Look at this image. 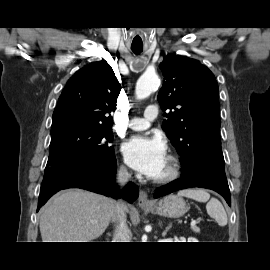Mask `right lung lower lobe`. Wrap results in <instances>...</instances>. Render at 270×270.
<instances>
[{
	"label": "right lung lower lobe",
	"mask_w": 270,
	"mask_h": 270,
	"mask_svg": "<svg viewBox=\"0 0 270 270\" xmlns=\"http://www.w3.org/2000/svg\"><path fill=\"white\" fill-rule=\"evenodd\" d=\"M116 159L104 164L90 153L72 154L49 161L40 188L37 211L56 192L67 188H81L114 198L124 195L132 203L138 197V187L129 183L121 193L117 190Z\"/></svg>",
	"instance_id": "98d812e1"
}]
</instances>
